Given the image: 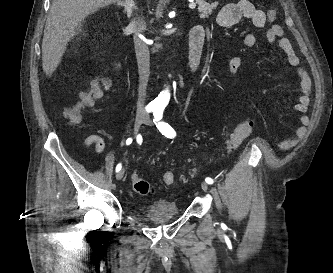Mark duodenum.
Returning <instances> with one entry per match:
<instances>
[{
	"label": "duodenum",
	"instance_id": "1",
	"mask_svg": "<svg viewBox=\"0 0 333 273\" xmlns=\"http://www.w3.org/2000/svg\"><path fill=\"white\" fill-rule=\"evenodd\" d=\"M204 39L205 32L203 27H194L189 39L188 68L191 73H196L199 69Z\"/></svg>",
	"mask_w": 333,
	"mask_h": 273
}]
</instances>
